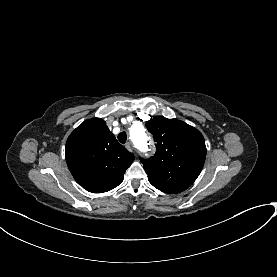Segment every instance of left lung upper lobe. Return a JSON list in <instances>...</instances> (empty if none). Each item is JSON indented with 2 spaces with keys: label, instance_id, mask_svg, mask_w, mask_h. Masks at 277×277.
Segmentation results:
<instances>
[{
  "label": "left lung upper lobe",
  "instance_id": "5c2ea615",
  "mask_svg": "<svg viewBox=\"0 0 277 277\" xmlns=\"http://www.w3.org/2000/svg\"><path fill=\"white\" fill-rule=\"evenodd\" d=\"M146 127L157 143L154 156L140 159L149 182L165 193H180L200 174L206 146L202 134L177 119L154 117Z\"/></svg>",
  "mask_w": 277,
  "mask_h": 277
}]
</instances>
